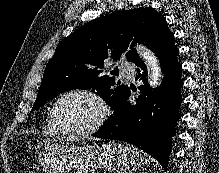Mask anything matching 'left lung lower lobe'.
Returning <instances> with one entry per match:
<instances>
[{"mask_svg":"<svg viewBox=\"0 0 219 173\" xmlns=\"http://www.w3.org/2000/svg\"><path fill=\"white\" fill-rule=\"evenodd\" d=\"M152 51L159 57L165 74L162 85L152 92L146 80V66L139 58L134 63L139 67L138 77L146 84L140 86V96L134 104L128 101L130 89L120 98L111 118L93 137L124 141L152 155L166 169L171 152V137L175 123L180 117L182 102L180 78L181 65L178 63L179 50L171 33Z\"/></svg>","mask_w":219,"mask_h":173,"instance_id":"left-lung-lower-lobe-1","label":"left lung lower lobe"}]
</instances>
